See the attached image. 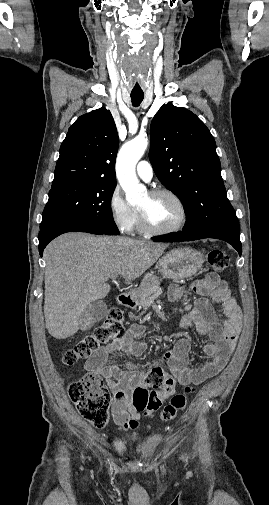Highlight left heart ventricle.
<instances>
[{
  "mask_svg": "<svg viewBox=\"0 0 269 505\" xmlns=\"http://www.w3.org/2000/svg\"><path fill=\"white\" fill-rule=\"evenodd\" d=\"M152 225L168 228L176 225L181 219L179 205L169 196H151L149 193L138 205Z\"/></svg>",
  "mask_w": 269,
  "mask_h": 505,
  "instance_id": "b2bd125f",
  "label": "left heart ventricle"
}]
</instances>
